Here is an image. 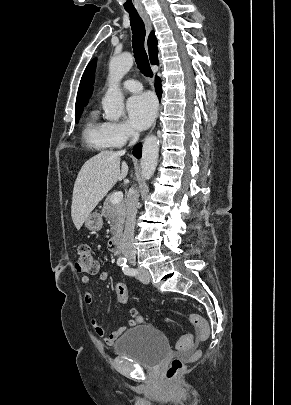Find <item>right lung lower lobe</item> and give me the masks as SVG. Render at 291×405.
<instances>
[{
	"label": "right lung lower lobe",
	"instance_id": "right-lung-lower-lobe-1",
	"mask_svg": "<svg viewBox=\"0 0 291 405\" xmlns=\"http://www.w3.org/2000/svg\"><path fill=\"white\" fill-rule=\"evenodd\" d=\"M155 89H156V94L158 96V98H161L162 95V88H161V80L159 79V77H156L155 79ZM133 155L136 158H140L141 157V144H137L134 148H133Z\"/></svg>",
	"mask_w": 291,
	"mask_h": 405
}]
</instances>
